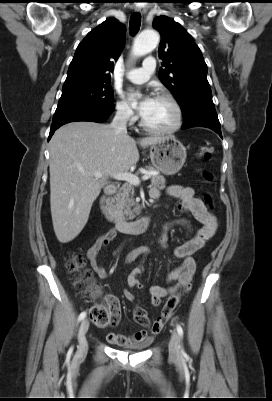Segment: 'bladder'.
I'll return each mask as SVG.
<instances>
[{
  "label": "bladder",
  "instance_id": "bladder-1",
  "mask_svg": "<svg viewBox=\"0 0 272 401\" xmlns=\"http://www.w3.org/2000/svg\"><path fill=\"white\" fill-rule=\"evenodd\" d=\"M150 342H146V343H141V344H134V345H129L126 346L125 348L129 349V350H140L145 348L146 346L149 345Z\"/></svg>",
  "mask_w": 272,
  "mask_h": 401
}]
</instances>
